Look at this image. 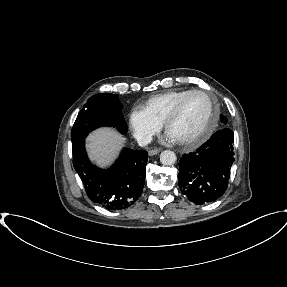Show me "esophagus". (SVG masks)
I'll list each match as a JSON object with an SVG mask.
<instances>
[{"instance_id":"34e87169","label":"esophagus","mask_w":287,"mask_h":287,"mask_svg":"<svg viewBox=\"0 0 287 287\" xmlns=\"http://www.w3.org/2000/svg\"><path fill=\"white\" fill-rule=\"evenodd\" d=\"M160 151H161V149L155 148V149L149 150V151H148V154H149L150 156H153V155H156V154L160 153Z\"/></svg>"}]
</instances>
